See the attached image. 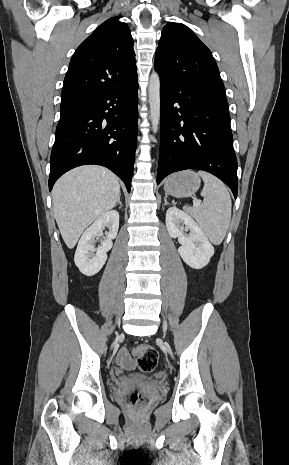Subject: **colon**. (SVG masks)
<instances>
[{
    "mask_svg": "<svg viewBox=\"0 0 289 465\" xmlns=\"http://www.w3.org/2000/svg\"><path fill=\"white\" fill-rule=\"evenodd\" d=\"M137 356L138 367L141 371L149 373L156 369L158 365V353L150 345H138L134 350ZM129 403L136 409H140L145 403L142 392L135 390L129 395Z\"/></svg>",
    "mask_w": 289,
    "mask_h": 465,
    "instance_id": "obj_1",
    "label": "colon"
}]
</instances>
